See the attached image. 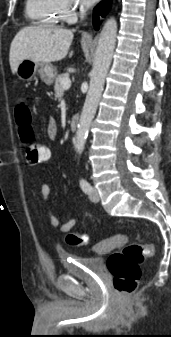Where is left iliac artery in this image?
Returning <instances> with one entry per match:
<instances>
[{
	"instance_id": "44dca946",
	"label": "left iliac artery",
	"mask_w": 171,
	"mask_h": 337,
	"mask_svg": "<svg viewBox=\"0 0 171 337\" xmlns=\"http://www.w3.org/2000/svg\"><path fill=\"white\" fill-rule=\"evenodd\" d=\"M80 187L85 193H90L92 188L89 182L85 179H80Z\"/></svg>"
}]
</instances>
